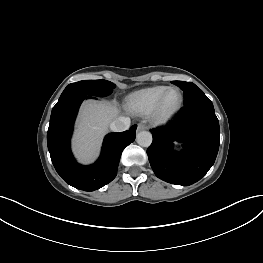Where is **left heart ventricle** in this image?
Instances as JSON below:
<instances>
[{"label": "left heart ventricle", "mask_w": 263, "mask_h": 263, "mask_svg": "<svg viewBox=\"0 0 263 263\" xmlns=\"http://www.w3.org/2000/svg\"><path fill=\"white\" fill-rule=\"evenodd\" d=\"M180 96L178 92L172 91L165 101V109L170 110L174 108L179 103Z\"/></svg>", "instance_id": "1"}]
</instances>
